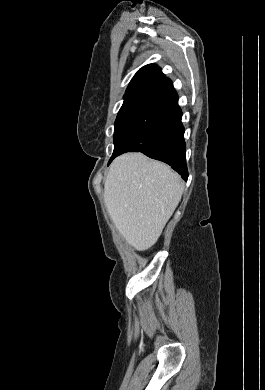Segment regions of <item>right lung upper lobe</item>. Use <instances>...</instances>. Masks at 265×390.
<instances>
[{
	"label": "right lung upper lobe",
	"instance_id": "cb5924a9",
	"mask_svg": "<svg viewBox=\"0 0 265 390\" xmlns=\"http://www.w3.org/2000/svg\"><path fill=\"white\" fill-rule=\"evenodd\" d=\"M173 84L166 78L161 68L155 64H148L140 68L132 78L124 95V101L135 98L156 100L171 90Z\"/></svg>",
	"mask_w": 265,
	"mask_h": 390
}]
</instances>
